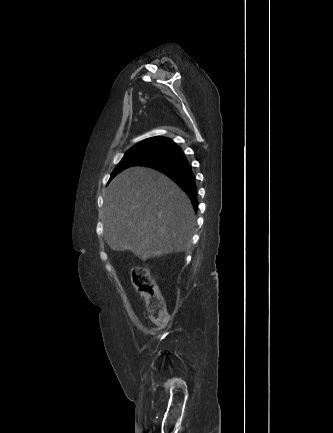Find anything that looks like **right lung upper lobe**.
<instances>
[{
    "label": "right lung upper lobe",
    "mask_w": 333,
    "mask_h": 433,
    "mask_svg": "<svg viewBox=\"0 0 333 433\" xmlns=\"http://www.w3.org/2000/svg\"><path fill=\"white\" fill-rule=\"evenodd\" d=\"M152 140H157V141H163V140H170V139H168V138H163V137H153V138H149V139H146V140H144V141H142V142H146V141H152ZM141 143V142H140ZM139 144V143H138Z\"/></svg>",
    "instance_id": "cb5924a9"
}]
</instances>
